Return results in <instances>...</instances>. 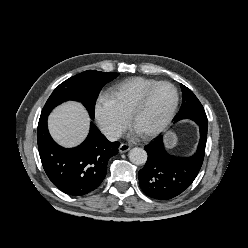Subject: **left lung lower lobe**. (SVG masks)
<instances>
[{
	"instance_id": "1",
	"label": "left lung lower lobe",
	"mask_w": 248,
	"mask_h": 248,
	"mask_svg": "<svg viewBox=\"0 0 248 248\" xmlns=\"http://www.w3.org/2000/svg\"><path fill=\"white\" fill-rule=\"evenodd\" d=\"M200 128L197 151L190 157L170 155L164 147L163 135L150 142L145 150L148 159L139 171V185L151 198L168 200L186 190L198 175L205 155L207 118H190ZM177 122V121H176Z\"/></svg>"
}]
</instances>
